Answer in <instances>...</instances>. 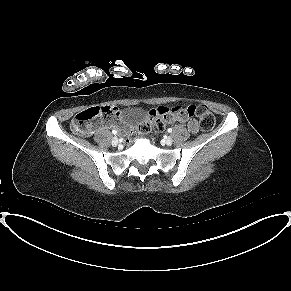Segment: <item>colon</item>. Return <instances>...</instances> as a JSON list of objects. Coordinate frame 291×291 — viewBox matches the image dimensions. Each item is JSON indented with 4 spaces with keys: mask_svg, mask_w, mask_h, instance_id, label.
<instances>
[{
    "mask_svg": "<svg viewBox=\"0 0 291 291\" xmlns=\"http://www.w3.org/2000/svg\"><path fill=\"white\" fill-rule=\"evenodd\" d=\"M182 110L180 107L169 106L158 108L148 116V120L139 124L137 131L131 136L134 137L137 133L147 134L152 129L162 131L166 124ZM186 113L188 116L195 115L204 130H211L215 125V117L205 105H190L186 108ZM119 114L117 108L113 106H92L75 115L71 128L74 132L86 136L91 134L95 127L119 117Z\"/></svg>",
    "mask_w": 291,
    "mask_h": 291,
    "instance_id": "obj_1",
    "label": "colon"
}]
</instances>
